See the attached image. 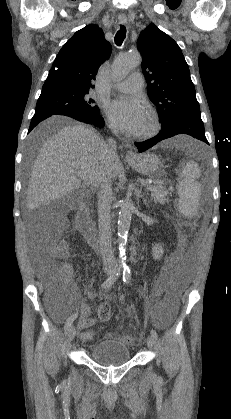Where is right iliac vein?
<instances>
[{
    "label": "right iliac vein",
    "instance_id": "right-iliac-vein-1",
    "mask_svg": "<svg viewBox=\"0 0 231 419\" xmlns=\"http://www.w3.org/2000/svg\"><path fill=\"white\" fill-rule=\"evenodd\" d=\"M105 272H106V274H111L112 270L107 269ZM75 335H76V328H75V326H72L68 331V340L70 342L73 341V339L75 338Z\"/></svg>",
    "mask_w": 231,
    "mask_h": 419
}]
</instances>
